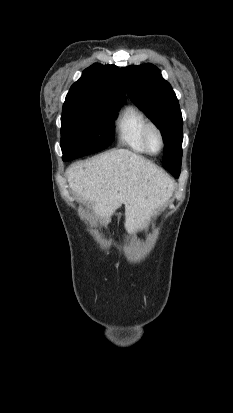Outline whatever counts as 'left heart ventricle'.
<instances>
[{
  "label": "left heart ventricle",
  "instance_id": "obj_1",
  "mask_svg": "<svg viewBox=\"0 0 233 413\" xmlns=\"http://www.w3.org/2000/svg\"><path fill=\"white\" fill-rule=\"evenodd\" d=\"M149 146L152 151H158L160 147V139L158 134L155 131H151L149 134Z\"/></svg>",
  "mask_w": 233,
  "mask_h": 413
}]
</instances>
